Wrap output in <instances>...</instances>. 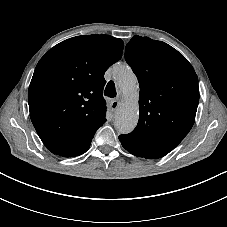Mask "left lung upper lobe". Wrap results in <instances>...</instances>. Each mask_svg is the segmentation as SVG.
<instances>
[{"label": "left lung upper lobe", "instance_id": "1", "mask_svg": "<svg viewBox=\"0 0 227 227\" xmlns=\"http://www.w3.org/2000/svg\"><path fill=\"white\" fill-rule=\"evenodd\" d=\"M125 59L140 85L136 128L122 138L166 155L192 128L199 102L198 78L187 59L170 45L134 36Z\"/></svg>", "mask_w": 227, "mask_h": 227}]
</instances>
